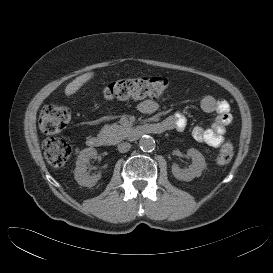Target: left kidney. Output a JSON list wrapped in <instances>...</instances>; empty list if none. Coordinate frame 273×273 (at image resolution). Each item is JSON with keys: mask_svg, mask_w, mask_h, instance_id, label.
<instances>
[{"mask_svg": "<svg viewBox=\"0 0 273 273\" xmlns=\"http://www.w3.org/2000/svg\"><path fill=\"white\" fill-rule=\"evenodd\" d=\"M187 155L192 158V164L188 169H181L177 164L172 165V173L178 180L191 181L200 177L206 167L204 156L196 149H188Z\"/></svg>", "mask_w": 273, "mask_h": 273, "instance_id": "5707ae66", "label": "left kidney"}]
</instances>
